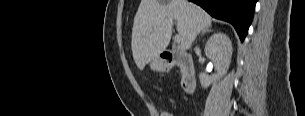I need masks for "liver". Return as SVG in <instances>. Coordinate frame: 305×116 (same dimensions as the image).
<instances>
[{
  "label": "liver",
  "mask_w": 305,
  "mask_h": 116,
  "mask_svg": "<svg viewBox=\"0 0 305 116\" xmlns=\"http://www.w3.org/2000/svg\"><path fill=\"white\" fill-rule=\"evenodd\" d=\"M174 20L182 51L190 49L198 33L212 23L208 13L187 0H142L134 17L131 41L133 58L140 70L166 50Z\"/></svg>",
  "instance_id": "6515ba94"
}]
</instances>
